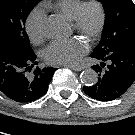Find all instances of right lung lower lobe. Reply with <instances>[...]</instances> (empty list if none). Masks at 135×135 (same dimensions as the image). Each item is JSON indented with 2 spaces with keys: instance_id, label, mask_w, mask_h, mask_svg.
Instances as JSON below:
<instances>
[{
  "instance_id": "98d812e1",
  "label": "right lung lower lobe",
  "mask_w": 135,
  "mask_h": 135,
  "mask_svg": "<svg viewBox=\"0 0 135 135\" xmlns=\"http://www.w3.org/2000/svg\"><path fill=\"white\" fill-rule=\"evenodd\" d=\"M36 55L23 51L12 40L0 37V91L8 98L29 103L46 94L56 68L36 67Z\"/></svg>"
}]
</instances>
